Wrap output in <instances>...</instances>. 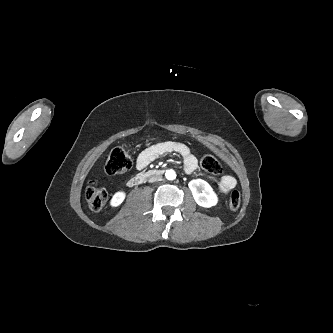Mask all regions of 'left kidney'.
<instances>
[{"label": "left kidney", "mask_w": 333, "mask_h": 333, "mask_svg": "<svg viewBox=\"0 0 333 333\" xmlns=\"http://www.w3.org/2000/svg\"><path fill=\"white\" fill-rule=\"evenodd\" d=\"M188 186L198 205L202 207H212L217 204V196L212 187L205 180H191Z\"/></svg>", "instance_id": "5707ae66"}]
</instances>
